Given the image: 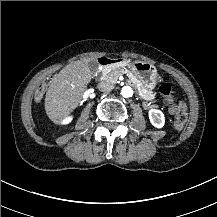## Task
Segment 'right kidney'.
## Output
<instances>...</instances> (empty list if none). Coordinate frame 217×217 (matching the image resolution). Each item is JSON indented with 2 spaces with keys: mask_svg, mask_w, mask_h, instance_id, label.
Listing matches in <instances>:
<instances>
[{
  "mask_svg": "<svg viewBox=\"0 0 217 217\" xmlns=\"http://www.w3.org/2000/svg\"><path fill=\"white\" fill-rule=\"evenodd\" d=\"M72 121V117L71 116H68V117H66L64 120H63V123L64 124H68V123H70Z\"/></svg>",
  "mask_w": 217,
  "mask_h": 217,
  "instance_id": "obj_1",
  "label": "right kidney"
}]
</instances>
